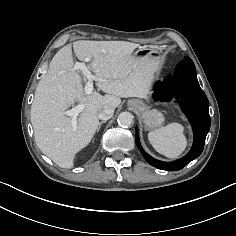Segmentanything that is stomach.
Returning <instances> with one entry per match:
<instances>
[{"label": "stomach", "mask_w": 236, "mask_h": 236, "mask_svg": "<svg viewBox=\"0 0 236 236\" xmlns=\"http://www.w3.org/2000/svg\"><path fill=\"white\" fill-rule=\"evenodd\" d=\"M136 57H145L147 55L159 60L158 52L151 49H139L134 54ZM141 119L148 129L159 128L164 122V114L162 111L150 108L149 106H143L140 110Z\"/></svg>", "instance_id": "stomach-1"}]
</instances>
